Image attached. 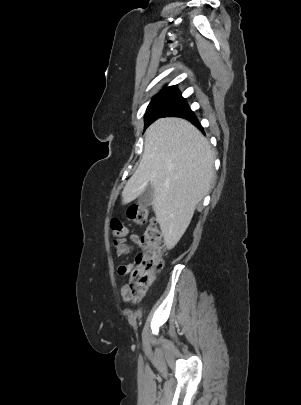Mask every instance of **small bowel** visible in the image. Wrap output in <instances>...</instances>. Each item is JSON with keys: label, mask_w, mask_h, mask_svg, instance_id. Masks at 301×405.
<instances>
[{"label": "small bowel", "mask_w": 301, "mask_h": 405, "mask_svg": "<svg viewBox=\"0 0 301 405\" xmlns=\"http://www.w3.org/2000/svg\"><path fill=\"white\" fill-rule=\"evenodd\" d=\"M129 242H132L137 245H141V239L138 235L136 234H130L128 238H119L114 241V245L116 247V256L118 258H122L130 253V245ZM133 264L130 263L128 265L126 264H119L118 266V272L120 275H127L130 270L132 269ZM121 295L124 299L129 298V293L127 286H122L121 287Z\"/></svg>", "instance_id": "1"}]
</instances>
